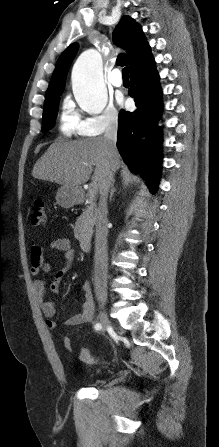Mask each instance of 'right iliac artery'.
Wrapping results in <instances>:
<instances>
[{
	"label": "right iliac artery",
	"mask_w": 219,
	"mask_h": 447,
	"mask_svg": "<svg viewBox=\"0 0 219 447\" xmlns=\"http://www.w3.org/2000/svg\"><path fill=\"white\" fill-rule=\"evenodd\" d=\"M94 328H95L96 330H99V329H101V324H99V323H96V324L94 325Z\"/></svg>",
	"instance_id": "1"
}]
</instances>
